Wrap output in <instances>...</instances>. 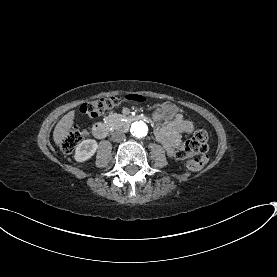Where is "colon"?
I'll return each mask as SVG.
<instances>
[{
  "mask_svg": "<svg viewBox=\"0 0 277 277\" xmlns=\"http://www.w3.org/2000/svg\"><path fill=\"white\" fill-rule=\"evenodd\" d=\"M146 101L147 98L142 95L98 97L85 102L81 107V112L86 114L88 117H96L118 107L123 102L144 103ZM83 137L84 132L71 130L68 132L62 143V149L65 152H71ZM208 140L209 135L206 130H196L177 150V158L187 161V167L192 172H198L202 170L208 162V157L193 158V155L197 153H206L208 149Z\"/></svg>",
  "mask_w": 277,
  "mask_h": 277,
  "instance_id": "colon-1",
  "label": "colon"
}]
</instances>
